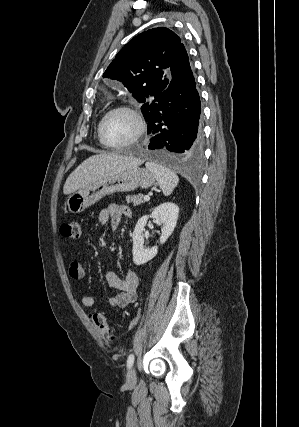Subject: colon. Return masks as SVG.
<instances>
[{
	"label": "colon",
	"mask_w": 299,
	"mask_h": 427,
	"mask_svg": "<svg viewBox=\"0 0 299 427\" xmlns=\"http://www.w3.org/2000/svg\"><path fill=\"white\" fill-rule=\"evenodd\" d=\"M60 233L66 238L78 239L81 236V225L77 221L63 223L60 226ZM92 322L99 334L106 340L113 339V331L107 319L100 313L92 315Z\"/></svg>",
	"instance_id": "1"
}]
</instances>
